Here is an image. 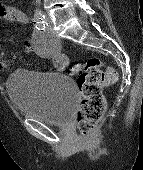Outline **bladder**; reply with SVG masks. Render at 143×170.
<instances>
[{"label":"bladder","mask_w":143,"mask_h":170,"mask_svg":"<svg viewBox=\"0 0 143 170\" xmlns=\"http://www.w3.org/2000/svg\"><path fill=\"white\" fill-rule=\"evenodd\" d=\"M5 88L22 115L49 125L69 122L78 99L74 81L56 72L17 70Z\"/></svg>","instance_id":"1"}]
</instances>
